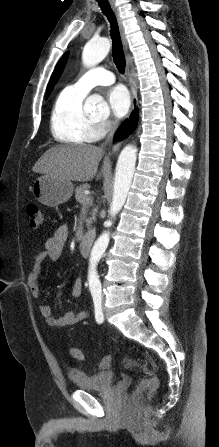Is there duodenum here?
<instances>
[{
  "mask_svg": "<svg viewBox=\"0 0 219 447\" xmlns=\"http://www.w3.org/2000/svg\"><path fill=\"white\" fill-rule=\"evenodd\" d=\"M93 231L88 230L82 236V239L79 243L80 253L83 257H88L90 253L91 243L93 240Z\"/></svg>",
  "mask_w": 219,
  "mask_h": 447,
  "instance_id": "410a0bca",
  "label": "duodenum"
}]
</instances>
